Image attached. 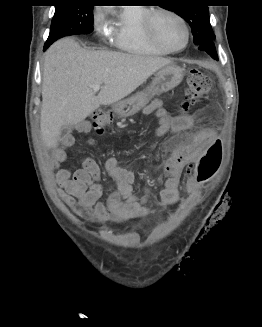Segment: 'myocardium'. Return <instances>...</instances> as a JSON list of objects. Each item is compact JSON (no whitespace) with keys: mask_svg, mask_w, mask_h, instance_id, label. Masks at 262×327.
<instances>
[{"mask_svg":"<svg viewBox=\"0 0 262 327\" xmlns=\"http://www.w3.org/2000/svg\"><path fill=\"white\" fill-rule=\"evenodd\" d=\"M159 14L171 15V16L175 17L176 19H178L182 23V25L185 28V32H186V40H185L183 46H181L180 48H170L167 45H165L161 41V39L158 37L156 29H155V18ZM143 29L153 44H155L157 47H159L160 49H162L168 53H177V52L184 50L187 47V45L189 44V41L191 38L190 27H189L187 21L185 20V18L178 12H176L172 9H169V8H165V7H156V8L150 9L143 18Z\"/></svg>","mask_w":262,"mask_h":327,"instance_id":"myocardium-1","label":"myocardium"}]
</instances>
